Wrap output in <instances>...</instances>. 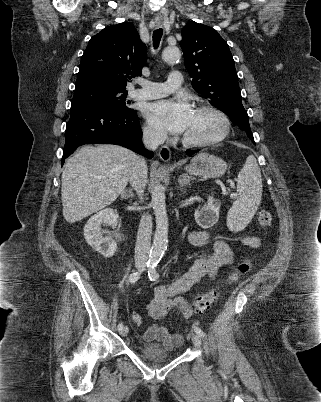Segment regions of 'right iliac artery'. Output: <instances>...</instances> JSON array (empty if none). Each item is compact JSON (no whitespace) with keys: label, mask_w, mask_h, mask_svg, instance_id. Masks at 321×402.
<instances>
[{"label":"right iliac artery","mask_w":321,"mask_h":402,"mask_svg":"<svg viewBox=\"0 0 321 402\" xmlns=\"http://www.w3.org/2000/svg\"><path fill=\"white\" fill-rule=\"evenodd\" d=\"M147 267H150V266L147 265ZM140 275H141V271L133 272V273L130 274V276H129V281H130L131 283H135V282L140 278ZM117 328H118V331H121V329L123 328V324H122V323H119L118 326H117Z\"/></svg>","instance_id":"1"}]
</instances>
